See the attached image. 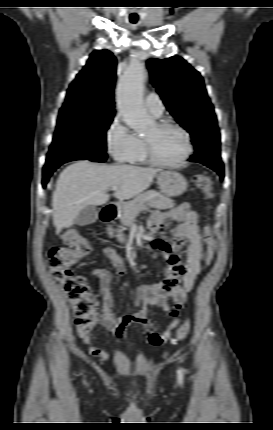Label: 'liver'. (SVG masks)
<instances>
[{"label":"liver","instance_id":"liver-1","mask_svg":"<svg viewBox=\"0 0 273 430\" xmlns=\"http://www.w3.org/2000/svg\"><path fill=\"white\" fill-rule=\"evenodd\" d=\"M161 171L131 165H97L87 160L67 166L59 175L52 199L56 233L73 226L85 207L105 204L109 188L117 186L115 197L128 200L145 191Z\"/></svg>","mask_w":273,"mask_h":430}]
</instances>
